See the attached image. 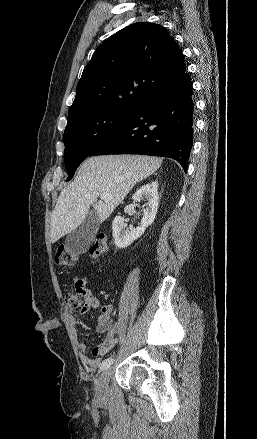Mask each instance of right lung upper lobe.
Listing matches in <instances>:
<instances>
[{
    "label": "right lung upper lobe",
    "mask_w": 257,
    "mask_h": 439,
    "mask_svg": "<svg viewBox=\"0 0 257 439\" xmlns=\"http://www.w3.org/2000/svg\"><path fill=\"white\" fill-rule=\"evenodd\" d=\"M185 73L183 54L168 31L138 22L109 37L83 70L68 119L104 109H137L152 93Z\"/></svg>",
    "instance_id": "obj_1"
}]
</instances>
